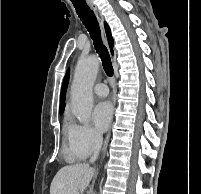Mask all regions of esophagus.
Masks as SVG:
<instances>
[{"mask_svg":"<svg viewBox=\"0 0 201 194\" xmlns=\"http://www.w3.org/2000/svg\"><path fill=\"white\" fill-rule=\"evenodd\" d=\"M89 6L90 8L92 9V11L94 12L97 20H98V23H99V26H100V29H101V34H102V39L105 43V45L109 48V44H108V39H107V36H106V32H105V29H104V17L103 15L101 14L100 10L97 8V6L93 3H89ZM109 137H110V132L108 133L106 139H105V142H104V145H103V148H102V154H104V152L106 151V148H107V145H108V142H109Z\"/></svg>","mask_w":201,"mask_h":194,"instance_id":"34e87169","label":"esophagus"}]
</instances>
